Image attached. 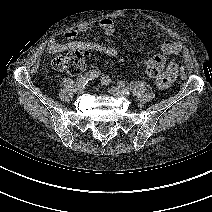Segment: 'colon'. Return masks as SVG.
Here are the masks:
<instances>
[{
	"label": "colon",
	"instance_id": "colon-1",
	"mask_svg": "<svg viewBox=\"0 0 212 212\" xmlns=\"http://www.w3.org/2000/svg\"><path fill=\"white\" fill-rule=\"evenodd\" d=\"M85 55L80 51H72L66 54L56 56L51 61V66L61 72H66L71 75H78L85 69ZM146 74L158 81H162L165 77L163 67L160 64L151 62L146 65Z\"/></svg>",
	"mask_w": 212,
	"mask_h": 212
}]
</instances>
